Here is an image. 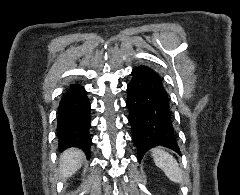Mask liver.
Listing matches in <instances>:
<instances>
[{"label": "liver", "mask_w": 240, "mask_h": 195, "mask_svg": "<svg viewBox=\"0 0 240 195\" xmlns=\"http://www.w3.org/2000/svg\"><path fill=\"white\" fill-rule=\"evenodd\" d=\"M84 157L83 151L77 149V147H70V149L63 151L62 155H60V177L67 179L75 171H78Z\"/></svg>", "instance_id": "liver-1"}]
</instances>
